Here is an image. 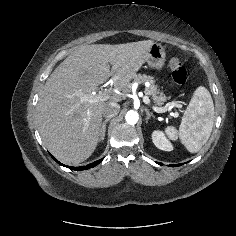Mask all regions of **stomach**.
I'll use <instances>...</instances> for the list:
<instances>
[{"mask_svg":"<svg viewBox=\"0 0 236 236\" xmlns=\"http://www.w3.org/2000/svg\"><path fill=\"white\" fill-rule=\"evenodd\" d=\"M165 49L160 43H154L148 51L146 62L149 66L162 69L165 64Z\"/></svg>","mask_w":236,"mask_h":236,"instance_id":"obj_1","label":"stomach"}]
</instances>
